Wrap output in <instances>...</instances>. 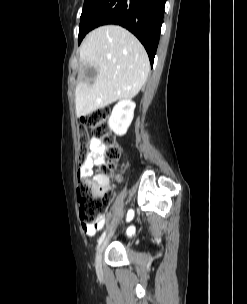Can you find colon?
<instances>
[{"mask_svg": "<svg viewBox=\"0 0 247 304\" xmlns=\"http://www.w3.org/2000/svg\"><path fill=\"white\" fill-rule=\"evenodd\" d=\"M108 120L109 111L97 109L80 121L79 159L83 162L87 159L90 152V141L93 138L105 142L110 157V161L102 165L100 174L93 179L81 178L79 180L78 201L80 218L84 225H92L102 217L113 198V193L108 186V177L115 175L122 149L110 135Z\"/></svg>", "mask_w": 247, "mask_h": 304, "instance_id": "colon-1", "label": "colon"}]
</instances>
